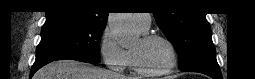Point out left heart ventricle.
I'll return each mask as SVG.
<instances>
[{
  "mask_svg": "<svg viewBox=\"0 0 255 79\" xmlns=\"http://www.w3.org/2000/svg\"><path fill=\"white\" fill-rule=\"evenodd\" d=\"M142 67L148 71H158L166 67L170 59L167 45L161 40L144 42L140 39L132 48Z\"/></svg>",
  "mask_w": 255,
  "mask_h": 79,
  "instance_id": "left-heart-ventricle-1",
  "label": "left heart ventricle"
}]
</instances>
